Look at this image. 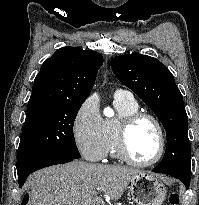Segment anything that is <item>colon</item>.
<instances>
[{"mask_svg": "<svg viewBox=\"0 0 199 205\" xmlns=\"http://www.w3.org/2000/svg\"><path fill=\"white\" fill-rule=\"evenodd\" d=\"M168 202L169 205H179V194L177 192L170 193ZM24 204L26 205L28 202H25Z\"/></svg>", "mask_w": 199, "mask_h": 205, "instance_id": "1", "label": "colon"}]
</instances>
